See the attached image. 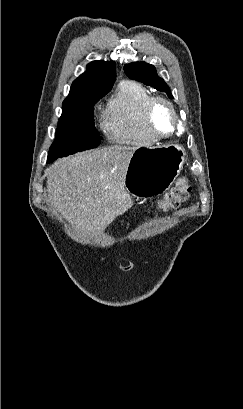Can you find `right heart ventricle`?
Instances as JSON below:
<instances>
[{
  "label": "right heart ventricle",
  "instance_id": "1",
  "mask_svg": "<svg viewBox=\"0 0 243 409\" xmlns=\"http://www.w3.org/2000/svg\"><path fill=\"white\" fill-rule=\"evenodd\" d=\"M152 97L151 92L139 82H120L104 117V129L109 138L122 144H154L157 140L148 132L144 121L145 106Z\"/></svg>",
  "mask_w": 243,
  "mask_h": 409
}]
</instances>
